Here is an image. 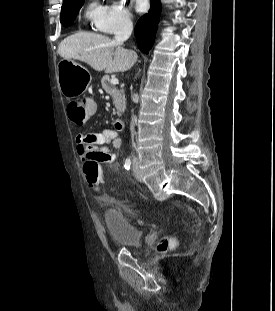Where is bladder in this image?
<instances>
[{"instance_id":"31cf9c89","label":"bladder","mask_w":275,"mask_h":311,"mask_svg":"<svg viewBox=\"0 0 275 311\" xmlns=\"http://www.w3.org/2000/svg\"><path fill=\"white\" fill-rule=\"evenodd\" d=\"M103 220L114 245L121 248H135L142 242L141 231L133 225L124 213L105 209Z\"/></svg>"}]
</instances>
